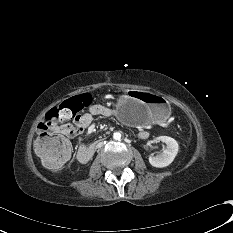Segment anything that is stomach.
<instances>
[{
    "mask_svg": "<svg viewBox=\"0 0 233 233\" xmlns=\"http://www.w3.org/2000/svg\"><path fill=\"white\" fill-rule=\"evenodd\" d=\"M171 114L167 100L157 94L133 90L119 98L115 115L125 124L140 125L165 121Z\"/></svg>",
    "mask_w": 233,
    "mask_h": 233,
    "instance_id": "stomach-1",
    "label": "stomach"
}]
</instances>
